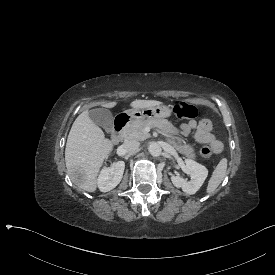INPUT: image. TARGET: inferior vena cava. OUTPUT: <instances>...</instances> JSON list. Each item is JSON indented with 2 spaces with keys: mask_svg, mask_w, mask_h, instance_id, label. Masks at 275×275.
<instances>
[{
  "mask_svg": "<svg viewBox=\"0 0 275 275\" xmlns=\"http://www.w3.org/2000/svg\"><path fill=\"white\" fill-rule=\"evenodd\" d=\"M139 147L140 143L136 140H127L121 145V148L126 154L136 153Z\"/></svg>",
  "mask_w": 275,
  "mask_h": 275,
  "instance_id": "1",
  "label": "inferior vena cava"
}]
</instances>
